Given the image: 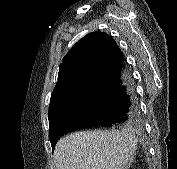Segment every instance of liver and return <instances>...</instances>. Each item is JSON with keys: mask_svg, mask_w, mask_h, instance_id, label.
I'll return each mask as SVG.
<instances>
[{"mask_svg": "<svg viewBox=\"0 0 177 169\" xmlns=\"http://www.w3.org/2000/svg\"><path fill=\"white\" fill-rule=\"evenodd\" d=\"M137 142L132 128L75 132L57 142L54 169H128Z\"/></svg>", "mask_w": 177, "mask_h": 169, "instance_id": "obj_1", "label": "liver"}]
</instances>
